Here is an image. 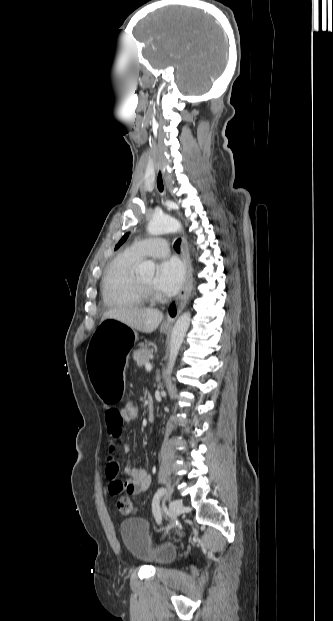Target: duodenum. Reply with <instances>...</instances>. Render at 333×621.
<instances>
[{
    "instance_id": "410a0bca",
    "label": "duodenum",
    "mask_w": 333,
    "mask_h": 621,
    "mask_svg": "<svg viewBox=\"0 0 333 621\" xmlns=\"http://www.w3.org/2000/svg\"><path fill=\"white\" fill-rule=\"evenodd\" d=\"M148 419L150 421L154 419V407L150 396L148 397Z\"/></svg>"
}]
</instances>
